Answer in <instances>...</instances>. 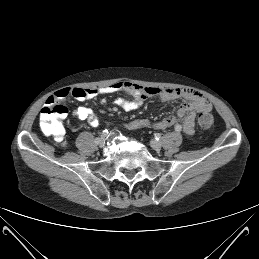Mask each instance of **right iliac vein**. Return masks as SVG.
Listing matches in <instances>:
<instances>
[{
	"mask_svg": "<svg viewBox=\"0 0 259 259\" xmlns=\"http://www.w3.org/2000/svg\"><path fill=\"white\" fill-rule=\"evenodd\" d=\"M100 147H103L105 145V138L101 137L98 142H96Z\"/></svg>",
	"mask_w": 259,
	"mask_h": 259,
	"instance_id": "right-iliac-vein-1",
	"label": "right iliac vein"
}]
</instances>
